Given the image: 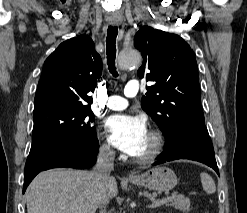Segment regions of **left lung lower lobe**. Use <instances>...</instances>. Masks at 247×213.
<instances>
[{
  "mask_svg": "<svg viewBox=\"0 0 247 213\" xmlns=\"http://www.w3.org/2000/svg\"><path fill=\"white\" fill-rule=\"evenodd\" d=\"M177 159L202 162L219 175L213 145L205 124L180 126L176 137L166 140L164 150L154 165Z\"/></svg>",
  "mask_w": 247,
  "mask_h": 213,
  "instance_id": "0a47b994",
  "label": "left lung lower lobe"
}]
</instances>
